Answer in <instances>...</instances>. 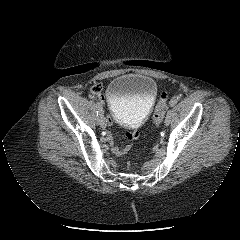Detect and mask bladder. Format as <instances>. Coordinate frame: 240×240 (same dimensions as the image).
<instances>
[{
    "mask_svg": "<svg viewBox=\"0 0 240 240\" xmlns=\"http://www.w3.org/2000/svg\"><path fill=\"white\" fill-rule=\"evenodd\" d=\"M158 87L151 77L128 73L113 79L106 91L110 111L122 126H140L149 116Z\"/></svg>",
    "mask_w": 240,
    "mask_h": 240,
    "instance_id": "1",
    "label": "bladder"
}]
</instances>
